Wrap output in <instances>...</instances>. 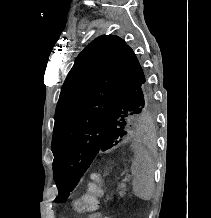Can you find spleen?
I'll return each mask as SVG.
<instances>
[{"mask_svg":"<svg viewBox=\"0 0 211 218\" xmlns=\"http://www.w3.org/2000/svg\"><path fill=\"white\" fill-rule=\"evenodd\" d=\"M132 188L135 196L141 200H151L154 192L152 164L145 152L137 150L131 166Z\"/></svg>","mask_w":211,"mask_h":218,"instance_id":"1","label":"spleen"}]
</instances>
